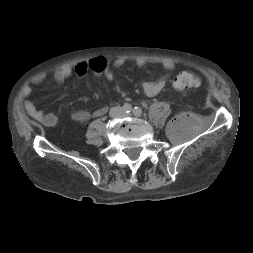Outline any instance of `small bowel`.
I'll return each instance as SVG.
<instances>
[{
	"instance_id": "1",
	"label": "small bowel",
	"mask_w": 253,
	"mask_h": 253,
	"mask_svg": "<svg viewBox=\"0 0 253 253\" xmlns=\"http://www.w3.org/2000/svg\"><path fill=\"white\" fill-rule=\"evenodd\" d=\"M125 63V58H115L108 64V71L112 73V68L122 67ZM135 63L138 67H143L146 64V61L144 59H137ZM162 67L166 71H172L174 69V63L172 61L167 60L162 62ZM89 70V62L81 61L76 63L73 68L63 67L57 70L54 74V79L57 83H63L72 75L73 72L76 75L82 77L86 75ZM44 78L45 77L43 75H39L33 79V83L40 84L44 81ZM167 82V77H162L156 80H148L143 82L142 88L147 96L152 97L157 95L166 86ZM31 92L32 89L30 86H26L23 89L25 111L32 119L39 122L43 126L54 127L58 122L57 115L51 112L46 113L38 109L33 103V101L30 99ZM106 112V107H99L93 111L77 110L72 113L71 118L76 122L83 123L90 120L91 118L102 117L106 114Z\"/></svg>"
}]
</instances>
